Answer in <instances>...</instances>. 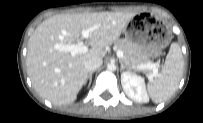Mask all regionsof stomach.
Instances as JSON below:
<instances>
[{
  "label": "stomach",
  "instance_id": "stomach-1",
  "mask_svg": "<svg viewBox=\"0 0 203 123\" xmlns=\"http://www.w3.org/2000/svg\"><path fill=\"white\" fill-rule=\"evenodd\" d=\"M124 33L144 52L148 60L160 57L172 39L169 29L153 16H143L131 27L125 28Z\"/></svg>",
  "mask_w": 203,
  "mask_h": 123
}]
</instances>
